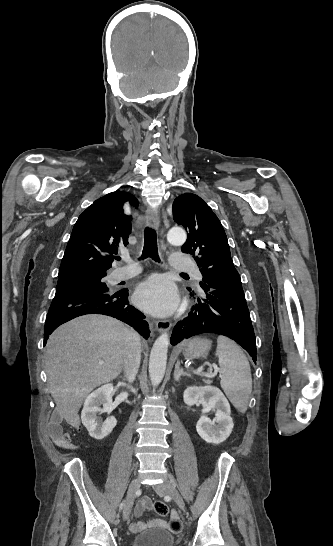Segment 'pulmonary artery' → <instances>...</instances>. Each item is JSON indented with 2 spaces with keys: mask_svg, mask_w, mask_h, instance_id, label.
<instances>
[{
  "mask_svg": "<svg viewBox=\"0 0 333 546\" xmlns=\"http://www.w3.org/2000/svg\"><path fill=\"white\" fill-rule=\"evenodd\" d=\"M127 266L118 267L111 273V279L113 281H120L131 278L139 273L140 268L132 262L131 259L126 258ZM172 268L179 271H193L197 279H201V274L195 269L194 262L191 258L184 254H174L171 257Z\"/></svg>",
  "mask_w": 333,
  "mask_h": 546,
  "instance_id": "1",
  "label": "pulmonary artery"
}]
</instances>
